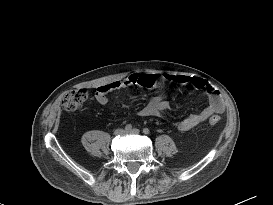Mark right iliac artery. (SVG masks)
Returning <instances> with one entry per match:
<instances>
[{"mask_svg":"<svg viewBox=\"0 0 273 205\" xmlns=\"http://www.w3.org/2000/svg\"><path fill=\"white\" fill-rule=\"evenodd\" d=\"M131 129H132V125H131V124H127V125L125 126V130L129 131V130H131Z\"/></svg>","mask_w":273,"mask_h":205,"instance_id":"obj_1","label":"right iliac artery"}]
</instances>
